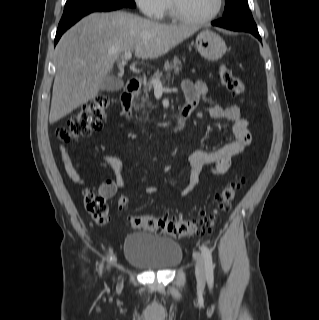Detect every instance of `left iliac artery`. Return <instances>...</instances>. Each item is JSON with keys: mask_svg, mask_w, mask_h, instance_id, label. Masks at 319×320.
I'll list each match as a JSON object with an SVG mask.
<instances>
[{"mask_svg": "<svg viewBox=\"0 0 319 320\" xmlns=\"http://www.w3.org/2000/svg\"><path fill=\"white\" fill-rule=\"evenodd\" d=\"M202 255L204 257L205 269H206V278L209 285H213L214 283V265L212 261V255L209 248L205 245L200 247Z\"/></svg>", "mask_w": 319, "mask_h": 320, "instance_id": "obj_1", "label": "left iliac artery"}]
</instances>
